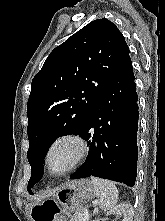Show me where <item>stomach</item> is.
Returning a JSON list of instances; mask_svg holds the SVG:
<instances>
[{
	"mask_svg": "<svg viewBox=\"0 0 165 221\" xmlns=\"http://www.w3.org/2000/svg\"><path fill=\"white\" fill-rule=\"evenodd\" d=\"M96 195L92 182L88 179L65 183L53 199L37 200L32 217H72L82 209L83 204ZM35 221H74L73 218H35Z\"/></svg>",
	"mask_w": 165,
	"mask_h": 221,
	"instance_id": "obj_1",
	"label": "stomach"
}]
</instances>
